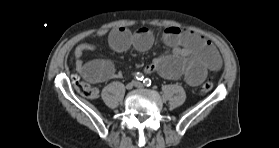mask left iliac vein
Listing matches in <instances>:
<instances>
[{"mask_svg":"<svg viewBox=\"0 0 279 148\" xmlns=\"http://www.w3.org/2000/svg\"><path fill=\"white\" fill-rule=\"evenodd\" d=\"M134 86L137 88H143V84L140 82H134Z\"/></svg>","mask_w":279,"mask_h":148,"instance_id":"1","label":"left iliac vein"}]
</instances>
